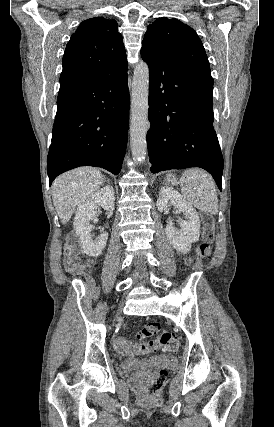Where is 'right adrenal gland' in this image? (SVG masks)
Returning <instances> with one entry per match:
<instances>
[{"label": "right adrenal gland", "instance_id": "obj_1", "mask_svg": "<svg viewBox=\"0 0 274 427\" xmlns=\"http://www.w3.org/2000/svg\"><path fill=\"white\" fill-rule=\"evenodd\" d=\"M105 182H107V184H110V180H105Z\"/></svg>", "mask_w": 274, "mask_h": 427}]
</instances>
